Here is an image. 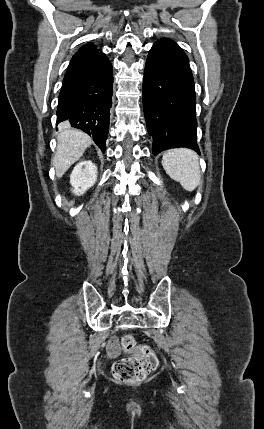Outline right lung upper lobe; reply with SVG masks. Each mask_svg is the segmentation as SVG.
<instances>
[{
  "label": "right lung upper lobe",
  "instance_id": "cb5924a9",
  "mask_svg": "<svg viewBox=\"0 0 264 429\" xmlns=\"http://www.w3.org/2000/svg\"><path fill=\"white\" fill-rule=\"evenodd\" d=\"M96 51H98L96 49V46L92 43H88L78 50V52L71 59L70 64H72L75 61L80 60V59H82L88 55H91V54L95 53Z\"/></svg>",
  "mask_w": 264,
  "mask_h": 429
}]
</instances>
